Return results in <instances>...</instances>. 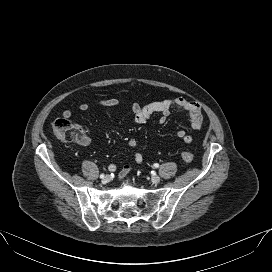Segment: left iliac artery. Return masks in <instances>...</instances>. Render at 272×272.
Masks as SVG:
<instances>
[{
    "mask_svg": "<svg viewBox=\"0 0 272 272\" xmlns=\"http://www.w3.org/2000/svg\"><path fill=\"white\" fill-rule=\"evenodd\" d=\"M153 167L158 168V167H159V164L155 163V164L153 165Z\"/></svg>",
    "mask_w": 272,
    "mask_h": 272,
    "instance_id": "1",
    "label": "left iliac artery"
}]
</instances>
